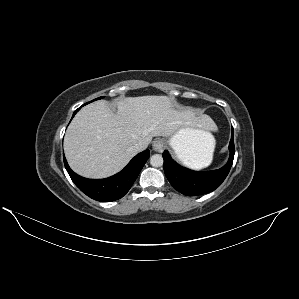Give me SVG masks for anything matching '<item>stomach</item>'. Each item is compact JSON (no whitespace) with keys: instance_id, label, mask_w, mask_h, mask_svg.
Listing matches in <instances>:
<instances>
[{"instance_id":"stomach-1","label":"stomach","mask_w":299,"mask_h":299,"mask_svg":"<svg viewBox=\"0 0 299 299\" xmlns=\"http://www.w3.org/2000/svg\"><path fill=\"white\" fill-rule=\"evenodd\" d=\"M169 145L179 158L183 156L187 162H201L207 154L213 153L215 140L208 136L207 131L184 124L170 137Z\"/></svg>"}]
</instances>
